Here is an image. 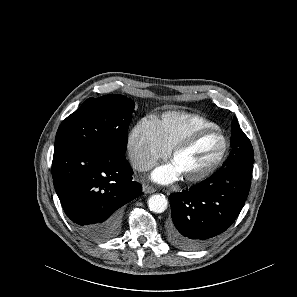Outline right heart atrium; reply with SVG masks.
I'll use <instances>...</instances> for the list:
<instances>
[{
    "instance_id": "obj_1",
    "label": "right heart atrium",
    "mask_w": 297,
    "mask_h": 297,
    "mask_svg": "<svg viewBox=\"0 0 297 297\" xmlns=\"http://www.w3.org/2000/svg\"><path fill=\"white\" fill-rule=\"evenodd\" d=\"M126 149L131 166L146 171L167 155L168 150L158 140L153 121L144 118L130 130Z\"/></svg>"
}]
</instances>
